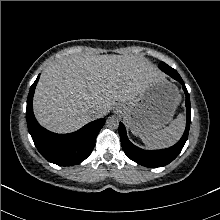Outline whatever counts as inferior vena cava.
Masks as SVG:
<instances>
[{"label":"inferior vena cava","mask_w":220,"mask_h":220,"mask_svg":"<svg viewBox=\"0 0 220 220\" xmlns=\"http://www.w3.org/2000/svg\"><path fill=\"white\" fill-rule=\"evenodd\" d=\"M89 112L92 116H96L97 113L99 112V108H92L89 110Z\"/></svg>","instance_id":"1"}]
</instances>
